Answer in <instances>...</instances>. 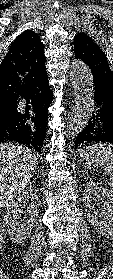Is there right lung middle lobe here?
<instances>
[{
    "label": "right lung middle lobe",
    "mask_w": 113,
    "mask_h": 279,
    "mask_svg": "<svg viewBox=\"0 0 113 279\" xmlns=\"http://www.w3.org/2000/svg\"><path fill=\"white\" fill-rule=\"evenodd\" d=\"M13 112H14V107H9V108L0 110V122H4L8 118H10L12 116Z\"/></svg>",
    "instance_id": "dd1d6c3e"
}]
</instances>
